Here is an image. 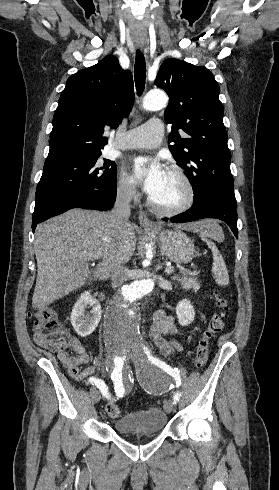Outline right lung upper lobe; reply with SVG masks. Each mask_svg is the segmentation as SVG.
<instances>
[{"instance_id": "right-lung-upper-lobe-1", "label": "right lung upper lobe", "mask_w": 279, "mask_h": 490, "mask_svg": "<svg viewBox=\"0 0 279 490\" xmlns=\"http://www.w3.org/2000/svg\"><path fill=\"white\" fill-rule=\"evenodd\" d=\"M134 98L132 73L115 56L70 76L53 117L45 162L101 151L107 144L104 127L117 128Z\"/></svg>"}]
</instances>
